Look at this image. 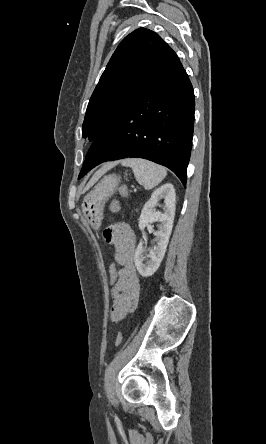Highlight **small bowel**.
<instances>
[{
    "label": "small bowel",
    "instance_id": "small-bowel-1",
    "mask_svg": "<svg viewBox=\"0 0 266 444\" xmlns=\"http://www.w3.org/2000/svg\"><path fill=\"white\" fill-rule=\"evenodd\" d=\"M103 235L106 243L113 248L115 262L121 266L118 281L111 292V319L113 322H119L136 308L139 300L140 282L134 266L136 239L132 230L125 224L113 225L107 228Z\"/></svg>",
    "mask_w": 266,
    "mask_h": 444
}]
</instances>
